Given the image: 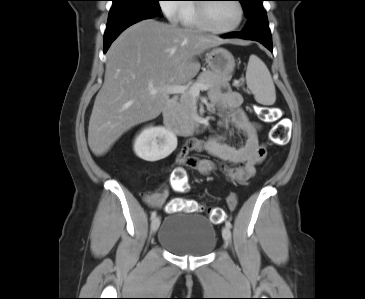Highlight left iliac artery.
Masks as SVG:
<instances>
[{"label":"left iliac artery","mask_w":365,"mask_h":299,"mask_svg":"<svg viewBox=\"0 0 365 299\" xmlns=\"http://www.w3.org/2000/svg\"><path fill=\"white\" fill-rule=\"evenodd\" d=\"M225 225H226L227 227H229V228H231V227H232V224H231V222H230V221H226Z\"/></svg>","instance_id":"44dca946"}]
</instances>
